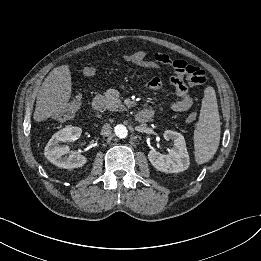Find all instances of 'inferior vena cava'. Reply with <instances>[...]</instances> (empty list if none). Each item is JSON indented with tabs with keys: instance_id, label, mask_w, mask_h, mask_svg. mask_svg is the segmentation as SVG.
I'll use <instances>...</instances> for the list:
<instances>
[{
	"instance_id": "inferior-vena-cava-1",
	"label": "inferior vena cava",
	"mask_w": 261,
	"mask_h": 261,
	"mask_svg": "<svg viewBox=\"0 0 261 261\" xmlns=\"http://www.w3.org/2000/svg\"><path fill=\"white\" fill-rule=\"evenodd\" d=\"M112 133V127L109 123H106L103 125L101 129V135L102 136H110Z\"/></svg>"
}]
</instances>
